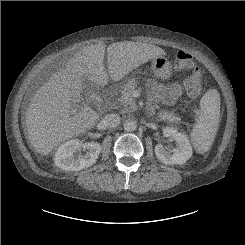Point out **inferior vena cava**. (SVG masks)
Masks as SVG:
<instances>
[{"mask_svg":"<svg viewBox=\"0 0 245 245\" xmlns=\"http://www.w3.org/2000/svg\"><path fill=\"white\" fill-rule=\"evenodd\" d=\"M103 120L107 127L115 128L120 124L121 118L118 114H108Z\"/></svg>","mask_w":245,"mask_h":245,"instance_id":"inferior-vena-cava-1","label":"inferior vena cava"}]
</instances>
